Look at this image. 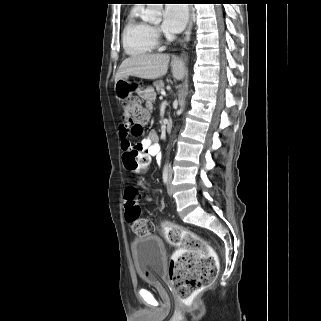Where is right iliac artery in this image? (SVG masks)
<instances>
[{"instance_id":"right-iliac-artery-1","label":"right iliac artery","mask_w":321,"mask_h":321,"mask_svg":"<svg viewBox=\"0 0 321 321\" xmlns=\"http://www.w3.org/2000/svg\"><path fill=\"white\" fill-rule=\"evenodd\" d=\"M163 182H164V184L168 183V167H167V165H165V167L163 169Z\"/></svg>"}]
</instances>
